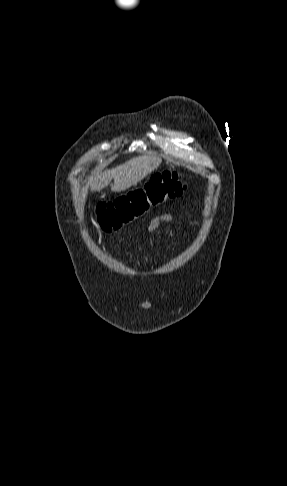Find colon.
I'll list each match as a JSON object with an SVG mask.
<instances>
[{
    "label": "colon",
    "mask_w": 287,
    "mask_h": 486,
    "mask_svg": "<svg viewBox=\"0 0 287 486\" xmlns=\"http://www.w3.org/2000/svg\"><path fill=\"white\" fill-rule=\"evenodd\" d=\"M187 188L176 172L157 173L143 186L114 200L100 202L96 207L97 223L106 232L116 231L151 208L183 195Z\"/></svg>",
    "instance_id": "colon-1"
}]
</instances>
